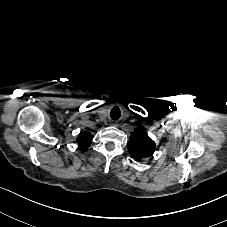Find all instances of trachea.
Listing matches in <instances>:
<instances>
[{
	"label": "trachea",
	"instance_id": "1",
	"mask_svg": "<svg viewBox=\"0 0 227 227\" xmlns=\"http://www.w3.org/2000/svg\"><path fill=\"white\" fill-rule=\"evenodd\" d=\"M121 116V111L119 109V107L115 106L111 109V112H110V117L111 119L113 120H118Z\"/></svg>",
	"mask_w": 227,
	"mask_h": 227
}]
</instances>
